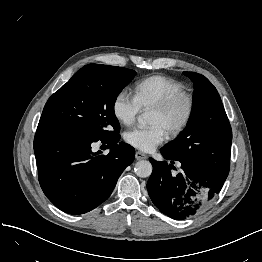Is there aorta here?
<instances>
[{"label": "aorta", "mask_w": 262, "mask_h": 262, "mask_svg": "<svg viewBox=\"0 0 262 262\" xmlns=\"http://www.w3.org/2000/svg\"><path fill=\"white\" fill-rule=\"evenodd\" d=\"M151 118L150 112H144L138 116L137 120L140 125L145 126L151 122ZM134 170L138 177L146 178L152 173V164L147 160H141L135 164Z\"/></svg>", "instance_id": "obj_1"}]
</instances>
